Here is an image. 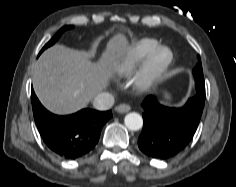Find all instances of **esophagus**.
I'll return each instance as SVG.
<instances>
[{"label": "esophagus", "mask_w": 236, "mask_h": 187, "mask_svg": "<svg viewBox=\"0 0 236 187\" xmlns=\"http://www.w3.org/2000/svg\"><path fill=\"white\" fill-rule=\"evenodd\" d=\"M131 107L127 104H120L116 107V111L118 113H126L128 111H130Z\"/></svg>", "instance_id": "1"}]
</instances>
